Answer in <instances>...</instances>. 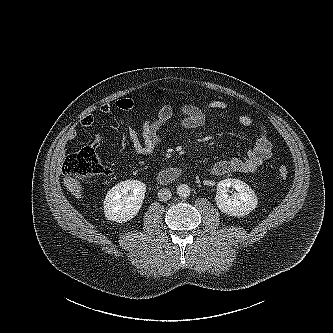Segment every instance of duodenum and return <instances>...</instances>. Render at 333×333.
Masks as SVG:
<instances>
[{"instance_id": "1", "label": "duodenum", "mask_w": 333, "mask_h": 333, "mask_svg": "<svg viewBox=\"0 0 333 333\" xmlns=\"http://www.w3.org/2000/svg\"><path fill=\"white\" fill-rule=\"evenodd\" d=\"M181 169L176 168V167H171L162 170L158 176H157V181L160 184H168L170 182H173L177 178L181 176Z\"/></svg>"}]
</instances>
